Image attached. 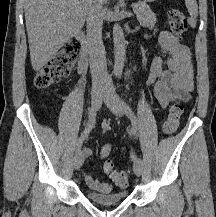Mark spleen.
Instances as JSON below:
<instances>
[{
  "mask_svg": "<svg viewBox=\"0 0 216 217\" xmlns=\"http://www.w3.org/2000/svg\"><path fill=\"white\" fill-rule=\"evenodd\" d=\"M185 5L190 14V18L188 20L191 27L196 26L197 16H198V5L196 0H185Z\"/></svg>",
  "mask_w": 216,
  "mask_h": 217,
  "instance_id": "obj_1",
  "label": "spleen"
}]
</instances>
